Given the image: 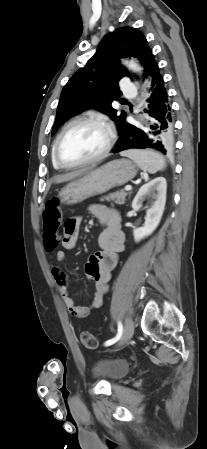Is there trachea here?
<instances>
[{
  "instance_id": "obj_1",
  "label": "trachea",
  "mask_w": 207,
  "mask_h": 449,
  "mask_svg": "<svg viewBox=\"0 0 207 449\" xmlns=\"http://www.w3.org/2000/svg\"><path fill=\"white\" fill-rule=\"evenodd\" d=\"M121 101H126L125 99H122Z\"/></svg>"
}]
</instances>
